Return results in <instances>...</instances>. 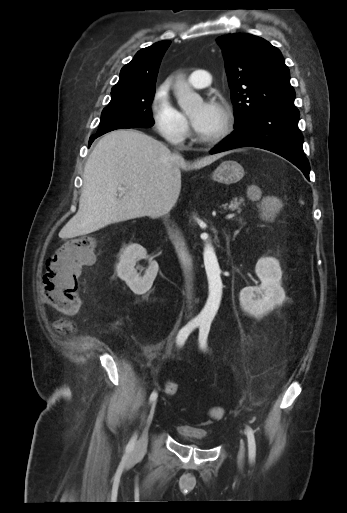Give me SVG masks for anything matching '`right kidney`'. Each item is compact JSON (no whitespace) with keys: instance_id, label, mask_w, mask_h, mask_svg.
Segmentation results:
<instances>
[{"instance_id":"ca27d5eb","label":"right kidney","mask_w":347,"mask_h":513,"mask_svg":"<svg viewBox=\"0 0 347 513\" xmlns=\"http://www.w3.org/2000/svg\"><path fill=\"white\" fill-rule=\"evenodd\" d=\"M146 258V249L139 244H132L122 251L119 263L116 266L118 277L125 281L128 287L137 295L146 293L152 287L159 269L156 261H150L145 275L141 277L137 273L135 266L137 261Z\"/></svg>"}]
</instances>
